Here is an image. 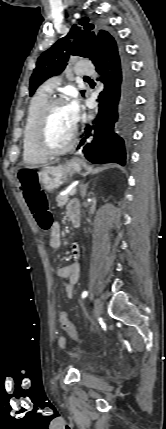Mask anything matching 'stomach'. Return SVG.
<instances>
[{
  "label": "stomach",
  "instance_id": "0dacf381",
  "mask_svg": "<svg viewBox=\"0 0 166 429\" xmlns=\"http://www.w3.org/2000/svg\"><path fill=\"white\" fill-rule=\"evenodd\" d=\"M82 167L83 163L78 159H73L63 166L45 167L38 172V182L43 189L52 193L63 184L69 175L81 172Z\"/></svg>",
  "mask_w": 166,
  "mask_h": 429
}]
</instances>
